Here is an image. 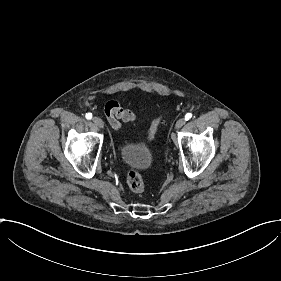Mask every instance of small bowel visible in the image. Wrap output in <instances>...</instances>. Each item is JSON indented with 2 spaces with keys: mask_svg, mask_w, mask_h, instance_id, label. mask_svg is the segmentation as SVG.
<instances>
[{
  "mask_svg": "<svg viewBox=\"0 0 281 281\" xmlns=\"http://www.w3.org/2000/svg\"><path fill=\"white\" fill-rule=\"evenodd\" d=\"M106 118L110 126L120 129L122 122H134L135 114L126 108L121 107L119 101H111L106 108Z\"/></svg>",
  "mask_w": 281,
  "mask_h": 281,
  "instance_id": "c3829d8e",
  "label": "small bowel"
}]
</instances>
